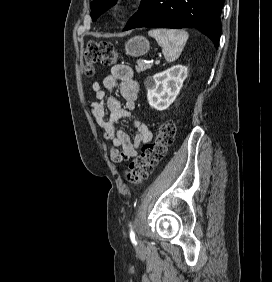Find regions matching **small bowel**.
I'll use <instances>...</instances> for the list:
<instances>
[{"mask_svg":"<svg viewBox=\"0 0 272 282\" xmlns=\"http://www.w3.org/2000/svg\"><path fill=\"white\" fill-rule=\"evenodd\" d=\"M117 86L125 100L124 107L117 98L107 95ZM92 89L97 101L91 104V114L104 130V137L112 142L109 148L110 159L116 163L131 159L136 155L139 145L147 144L153 138L148 126L132 114L140 93V86L133 76L132 69L127 65H114L101 83H93ZM106 110L110 113L109 118H106ZM122 118L132 120L136 129L133 140L129 139L124 131L116 128L115 123Z\"/></svg>","mask_w":272,"mask_h":282,"instance_id":"1","label":"small bowel"}]
</instances>
